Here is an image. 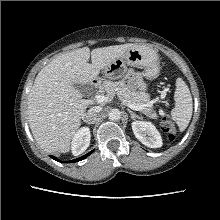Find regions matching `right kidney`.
<instances>
[{
    "instance_id": "1",
    "label": "right kidney",
    "mask_w": 220,
    "mask_h": 220,
    "mask_svg": "<svg viewBox=\"0 0 220 220\" xmlns=\"http://www.w3.org/2000/svg\"><path fill=\"white\" fill-rule=\"evenodd\" d=\"M90 138L91 134L88 127L79 129L71 142L72 154L74 156L82 154L89 147Z\"/></svg>"
}]
</instances>
